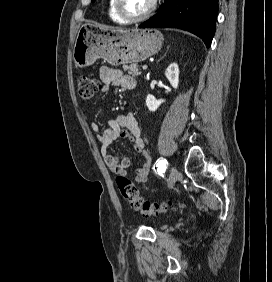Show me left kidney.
<instances>
[{
  "mask_svg": "<svg viewBox=\"0 0 272 282\" xmlns=\"http://www.w3.org/2000/svg\"><path fill=\"white\" fill-rule=\"evenodd\" d=\"M165 76L170 82L171 86L174 89H177L179 85V67L177 63H172L167 67ZM163 102H165L164 99H156L151 94H148L146 97V106L151 112H155Z\"/></svg>",
  "mask_w": 272,
  "mask_h": 282,
  "instance_id": "1",
  "label": "left kidney"
}]
</instances>
